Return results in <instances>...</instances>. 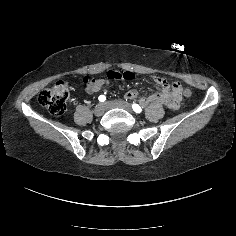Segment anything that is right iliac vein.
<instances>
[{
	"instance_id": "1",
	"label": "right iliac vein",
	"mask_w": 236,
	"mask_h": 236,
	"mask_svg": "<svg viewBox=\"0 0 236 236\" xmlns=\"http://www.w3.org/2000/svg\"><path fill=\"white\" fill-rule=\"evenodd\" d=\"M105 111H106V107L102 103H98L94 108V114L98 117L102 116L105 113Z\"/></svg>"
}]
</instances>
